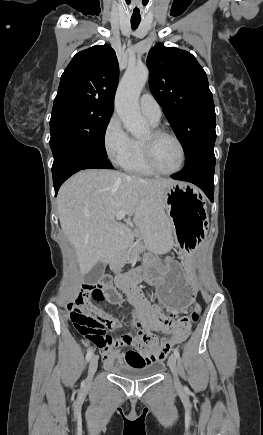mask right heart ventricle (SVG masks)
<instances>
[{"label": "right heart ventricle", "mask_w": 263, "mask_h": 435, "mask_svg": "<svg viewBox=\"0 0 263 435\" xmlns=\"http://www.w3.org/2000/svg\"><path fill=\"white\" fill-rule=\"evenodd\" d=\"M151 124L155 126V123ZM123 167L130 173L137 174V175H144V176H150L153 175L154 172L148 167L145 156H144V150L142 145V140L140 139H133V146H132V152L129 157V159L126 161V163L123 165Z\"/></svg>", "instance_id": "obj_1"}]
</instances>
